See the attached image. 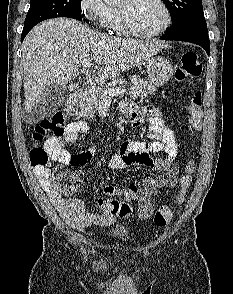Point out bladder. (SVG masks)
Returning a JSON list of instances; mask_svg holds the SVG:
<instances>
[{"label": "bladder", "mask_w": 233, "mask_h": 294, "mask_svg": "<svg viewBox=\"0 0 233 294\" xmlns=\"http://www.w3.org/2000/svg\"><path fill=\"white\" fill-rule=\"evenodd\" d=\"M109 233L111 236L124 238L130 234V229L124 224H115L110 228Z\"/></svg>", "instance_id": "31cf9c89"}]
</instances>
